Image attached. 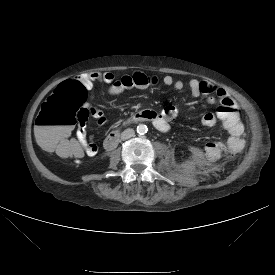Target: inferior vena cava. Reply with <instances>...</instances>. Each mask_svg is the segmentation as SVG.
Here are the masks:
<instances>
[{
	"label": "inferior vena cava",
	"mask_w": 275,
	"mask_h": 275,
	"mask_svg": "<svg viewBox=\"0 0 275 275\" xmlns=\"http://www.w3.org/2000/svg\"><path fill=\"white\" fill-rule=\"evenodd\" d=\"M135 135V131L133 129H126L121 133V139L127 140Z\"/></svg>",
	"instance_id": "obj_1"
}]
</instances>
